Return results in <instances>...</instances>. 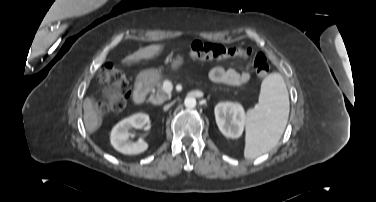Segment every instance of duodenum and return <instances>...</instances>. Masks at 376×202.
Segmentation results:
<instances>
[{"label": "duodenum", "instance_id": "1", "mask_svg": "<svg viewBox=\"0 0 376 202\" xmlns=\"http://www.w3.org/2000/svg\"><path fill=\"white\" fill-rule=\"evenodd\" d=\"M147 96V81L139 79L135 85L133 92V102L137 105L142 104Z\"/></svg>", "mask_w": 376, "mask_h": 202}]
</instances>
